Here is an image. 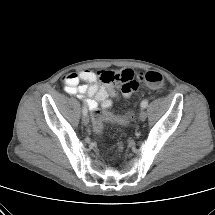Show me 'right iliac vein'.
Here are the masks:
<instances>
[{"label":"right iliac vein","instance_id":"1","mask_svg":"<svg viewBox=\"0 0 215 215\" xmlns=\"http://www.w3.org/2000/svg\"><path fill=\"white\" fill-rule=\"evenodd\" d=\"M82 122L84 125H88L89 123V117L87 115H83Z\"/></svg>","mask_w":215,"mask_h":215}]
</instances>
